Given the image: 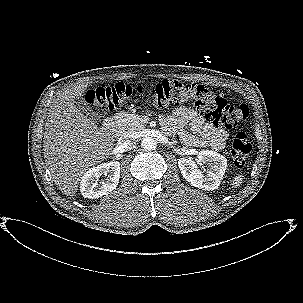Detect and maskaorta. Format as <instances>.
<instances>
[{"mask_svg":"<svg viewBox=\"0 0 303 303\" xmlns=\"http://www.w3.org/2000/svg\"><path fill=\"white\" fill-rule=\"evenodd\" d=\"M141 147L144 150H154L156 148V140L152 137H144L141 141Z\"/></svg>","mask_w":303,"mask_h":303,"instance_id":"762f6f07","label":"aorta"}]
</instances>
